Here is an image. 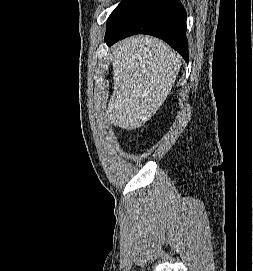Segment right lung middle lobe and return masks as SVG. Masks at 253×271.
<instances>
[{"label": "right lung middle lobe", "instance_id": "right-lung-middle-lobe-1", "mask_svg": "<svg viewBox=\"0 0 253 271\" xmlns=\"http://www.w3.org/2000/svg\"><path fill=\"white\" fill-rule=\"evenodd\" d=\"M136 0H122L107 20L106 32L112 31L126 15Z\"/></svg>", "mask_w": 253, "mask_h": 271}]
</instances>
